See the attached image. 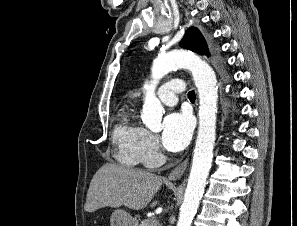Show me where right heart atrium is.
<instances>
[{"mask_svg": "<svg viewBox=\"0 0 297 226\" xmlns=\"http://www.w3.org/2000/svg\"><path fill=\"white\" fill-rule=\"evenodd\" d=\"M139 157L140 162L147 166L157 165L161 158L157 137L146 129H142Z\"/></svg>", "mask_w": 297, "mask_h": 226, "instance_id": "1", "label": "right heart atrium"}]
</instances>
